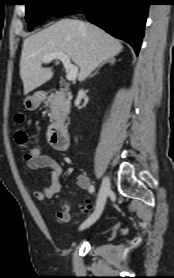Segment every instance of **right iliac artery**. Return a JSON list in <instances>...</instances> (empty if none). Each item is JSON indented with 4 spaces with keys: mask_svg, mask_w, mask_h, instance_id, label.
I'll return each instance as SVG.
<instances>
[{
    "mask_svg": "<svg viewBox=\"0 0 174 278\" xmlns=\"http://www.w3.org/2000/svg\"><path fill=\"white\" fill-rule=\"evenodd\" d=\"M94 190H95V189H94V186H91V188L89 189V192H90V193H93Z\"/></svg>",
    "mask_w": 174,
    "mask_h": 278,
    "instance_id": "right-iliac-artery-1",
    "label": "right iliac artery"
}]
</instances>
